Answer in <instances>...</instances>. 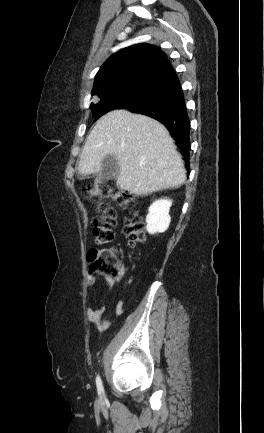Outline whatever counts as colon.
<instances>
[{
    "instance_id": "1",
    "label": "colon",
    "mask_w": 264,
    "mask_h": 433,
    "mask_svg": "<svg viewBox=\"0 0 264 433\" xmlns=\"http://www.w3.org/2000/svg\"><path fill=\"white\" fill-rule=\"evenodd\" d=\"M84 195L95 201L100 210L99 216L93 223L92 231L95 243L99 246L112 244L114 240L116 211L113 207L104 204L102 201L112 198L122 208L134 207L136 204L134 195L125 191L115 190L106 184H92L84 189ZM123 230L131 246L144 242V224L142 218L137 213H134L125 220ZM119 256V251L114 247L101 250L93 249L90 252L94 271L110 278H117L121 273Z\"/></svg>"
}]
</instances>
